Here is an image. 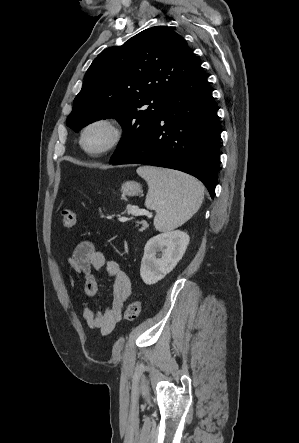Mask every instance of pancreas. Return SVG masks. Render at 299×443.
Segmentation results:
<instances>
[{
    "mask_svg": "<svg viewBox=\"0 0 299 443\" xmlns=\"http://www.w3.org/2000/svg\"><path fill=\"white\" fill-rule=\"evenodd\" d=\"M140 223L142 224L141 231L145 230L148 227V224L145 220L141 221Z\"/></svg>",
    "mask_w": 299,
    "mask_h": 443,
    "instance_id": "cf45deb5",
    "label": "pancreas"
}]
</instances>
